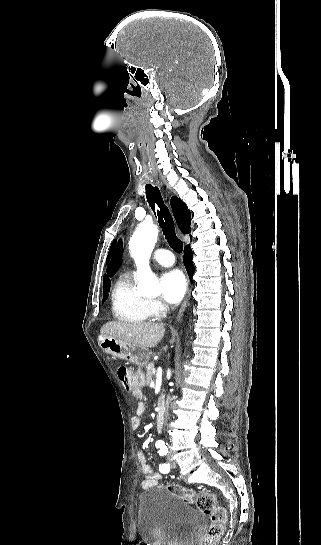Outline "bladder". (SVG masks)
I'll use <instances>...</instances> for the list:
<instances>
[{"instance_id":"31cf9c89","label":"bladder","mask_w":321,"mask_h":545,"mask_svg":"<svg viewBox=\"0 0 321 545\" xmlns=\"http://www.w3.org/2000/svg\"><path fill=\"white\" fill-rule=\"evenodd\" d=\"M205 515L167 489L153 487L138 503V534L147 545H191L204 529Z\"/></svg>"}]
</instances>
